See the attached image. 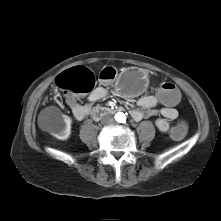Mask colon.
Masks as SVG:
<instances>
[{
  "instance_id": "5ec220e1",
  "label": "colon",
  "mask_w": 221,
  "mask_h": 221,
  "mask_svg": "<svg viewBox=\"0 0 221 221\" xmlns=\"http://www.w3.org/2000/svg\"><path fill=\"white\" fill-rule=\"evenodd\" d=\"M117 75L113 67L103 68L98 77L103 82H110ZM56 85L67 96L76 97L78 94L92 92L96 85V77L94 73L83 66L74 67L61 73L56 79ZM148 93L158 99L165 107L174 108L181 100V92L178 87L171 82H152L147 87ZM190 129L189 121L186 118H181L175 127L169 130V137L172 140L184 139Z\"/></svg>"
}]
</instances>
